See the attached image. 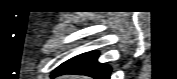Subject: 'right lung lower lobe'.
<instances>
[{"label": "right lung lower lobe", "mask_w": 177, "mask_h": 79, "mask_svg": "<svg viewBox=\"0 0 177 79\" xmlns=\"http://www.w3.org/2000/svg\"><path fill=\"white\" fill-rule=\"evenodd\" d=\"M98 53L89 52L78 55L61 64L52 74V77L62 74H80L96 79H109L110 67L97 62Z\"/></svg>", "instance_id": "right-lung-lower-lobe-1"}]
</instances>
